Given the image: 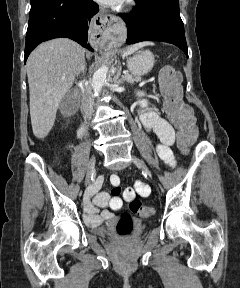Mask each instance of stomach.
<instances>
[{
  "label": "stomach",
  "instance_id": "obj_1",
  "mask_svg": "<svg viewBox=\"0 0 240 288\" xmlns=\"http://www.w3.org/2000/svg\"><path fill=\"white\" fill-rule=\"evenodd\" d=\"M154 63V55L148 50L140 51L133 57L127 59V67L135 76L145 75L150 72Z\"/></svg>",
  "mask_w": 240,
  "mask_h": 288
}]
</instances>
